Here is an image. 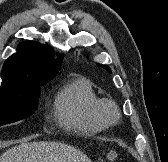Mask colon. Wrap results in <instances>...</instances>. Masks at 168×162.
Wrapping results in <instances>:
<instances>
[{"mask_svg":"<svg viewBox=\"0 0 168 162\" xmlns=\"http://www.w3.org/2000/svg\"><path fill=\"white\" fill-rule=\"evenodd\" d=\"M118 158H119V155L117 152L110 151L107 154V160L110 162H114V161L118 160Z\"/></svg>","mask_w":168,"mask_h":162,"instance_id":"1","label":"colon"}]
</instances>
